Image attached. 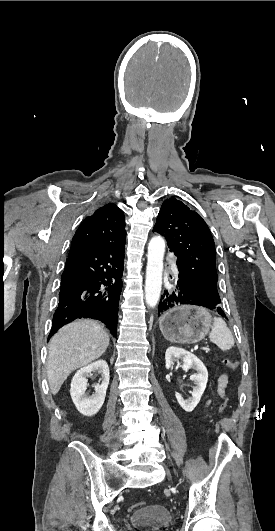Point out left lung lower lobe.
<instances>
[{"instance_id":"0a47b994","label":"left lung lower lobe","mask_w":275,"mask_h":531,"mask_svg":"<svg viewBox=\"0 0 275 531\" xmlns=\"http://www.w3.org/2000/svg\"><path fill=\"white\" fill-rule=\"evenodd\" d=\"M183 304H190V305H198V306H200V304H198L195 301H193L190 298H188L184 294L182 289H180L178 286L172 292L171 291H165L164 294L161 296V299H160V302H159V305H158V316L160 314L164 313L165 311L173 308L174 306L183 305ZM217 312L221 316L226 317L221 308H218Z\"/></svg>"}]
</instances>
